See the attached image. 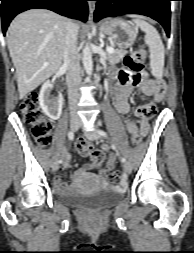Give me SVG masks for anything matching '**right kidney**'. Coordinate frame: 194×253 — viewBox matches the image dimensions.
<instances>
[{
  "instance_id": "obj_1",
  "label": "right kidney",
  "mask_w": 194,
  "mask_h": 253,
  "mask_svg": "<svg viewBox=\"0 0 194 253\" xmlns=\"http://www.w3.org/2000/svg\"><path fill=\"white\" fill-rule=\"evenodd\" d=\"M53 84L46 81L39 93V105L42 111L52 120H57L62 114L63 96L61 93L51 95Z\"/></svg>"
}]
</instances>
